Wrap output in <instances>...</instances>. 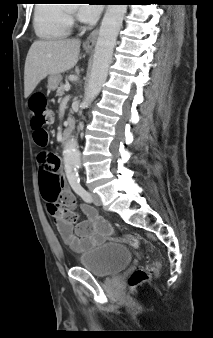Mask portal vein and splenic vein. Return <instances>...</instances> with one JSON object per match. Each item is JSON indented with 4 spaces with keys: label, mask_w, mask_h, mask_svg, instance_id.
Returning <instances> with one entry per match:
<instances>
[{
    "label": "portal vein and splenic vein",
    "mask_w": 213,
    "mask_h": 338,
    "mask_svg": "<svg viewBox=\"0 0 213 338\" xmlns=\"http://www.w3.org/2000/svg\"><path fill=\"white\" fill-rule=\"evenodd\" d=\"M64 88L66 91H68L70 89V84H66Z\"/></svg>",
    "instance_id": "18ae733b"
}]
</instances>
